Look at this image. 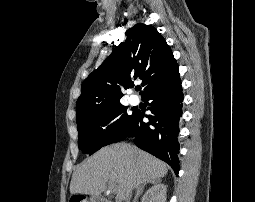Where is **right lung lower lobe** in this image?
Masks as SVG:
<instances>
[{
    "instance_id": "98d812e1",
    "label": "right lung lower lobe",
    "mask_w": 255,
    "mask_h": 202,
    "mask_svg": "<svg viewBox=\"0 0 255 202\" xmlns=\"http://www.w3.org/2000/svg\"><path fill=\"white\" fill-rule=\"evenodd\" d=\"M142 98L152 111V115L146 116L149 122H143L144 113L136 111L135 119L124 139L133 137L139 148L168 163L178 175L180 167L177 136L183 101L180 78Z\"/></svg>"
}]
</instances>
